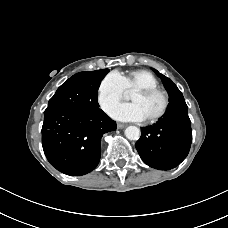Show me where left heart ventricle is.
<instances>
[{"instance_id":"b2bd125f","label":"left heart ventricle","mask_w":228,"mask_h":228,"mask_svg":"<svg viewBox=\"0 0 228 228\" xmlns=\"http://www.w3.org/2000/svg\"><path fill=\"white\" fill-rule=\"evenodd\" d=\"M130 100L141 108L146 119L157 114L162 107V99L158 95L143 96L138 93H132Z\"/></svg>"}]
</instances>
